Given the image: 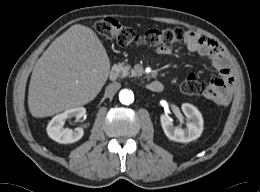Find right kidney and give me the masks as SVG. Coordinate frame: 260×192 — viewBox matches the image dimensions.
<instances>
[{"label":"right kidney","mask_w":260,"mask_h":192,"mask_svg":"<svg viewBox=\"0 0 260 192\" xmlns=\"http://www.w3.org/2000/svg\"><path fill=\"white\" fill-rule=\"evenodd\" d=\"M85 114L86 109L84 107H75L54 116L47 126L49 137L62 144L74 143L80 140L84 134L83 129L79 127L74 130L64 128V124L70 118L80 119Z\"/></svg>","instance_id":"ca27d5eb"}]
</instances>
